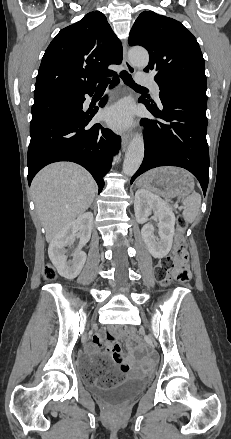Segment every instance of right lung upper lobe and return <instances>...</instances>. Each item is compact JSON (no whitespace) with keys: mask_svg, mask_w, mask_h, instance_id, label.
<instances>
[{"mask_svg":"<svg viewBox=\"0 0 231 439\" xmlns=\"http://www.w3.org/2000/svg\"><path fill=\"white\" fill-rule=\"evenodd\" d=\"M122 61V45L105 15L90 12L62 29L45 51L34 98L52 93L78 94L95 87L110 64Z\"/></svg>","mask_w":231,"mask_h":439,"instance_id":"cb5924a9","label":"right lung upper lobe"}]
</instances>
